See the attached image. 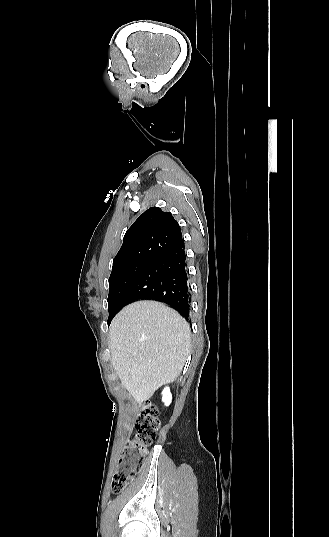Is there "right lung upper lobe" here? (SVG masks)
Returning <instances> with one entry per match:
<instances>
[{
    "mask_svg": "<svg viewBox=\"0 0 329 537\" xmlns=\"http://www.w3.org/2000/svg\"><path fill=\"white\" fill-rule=\"evenodd\" d=\"M182 240L181 228L171 213L149 208L127 230L112 270L136 260L153 261Z\"/></svg>",
    "mask_w": 329,
    "mask_h": 537,
    "instance_id": "right-lung-upper-lobe-1",
    "label": "right lung upper lobe"
}]
</instances>
